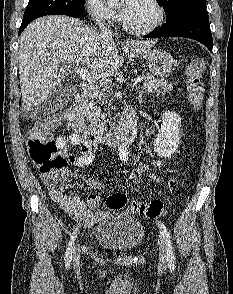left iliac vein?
<instances>
[{"mask_svg":"<svg viewBox=\"0 0 233 294\" xmlns=\"http://www.w3.org/2000/svg\"><path fill=\"white\" fill-rule=\"evenodd\" d=\"M157 242L159 247V261H160V264L165 267L168 261H167V250H166L164 238L161 235H159Z\"/></svg>","mask_w":233,"mask_h":294,"instance_id":"1","label":"left iliac vein"}]
</instances>
